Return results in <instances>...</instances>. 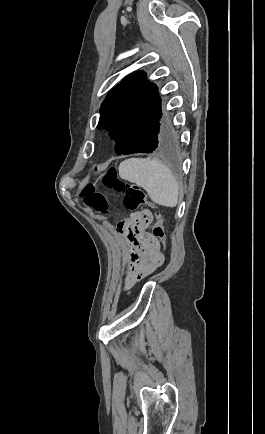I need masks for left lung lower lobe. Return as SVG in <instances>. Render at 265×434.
I'll return each instance as SVG.
<instances>
[{
  "label": "left lung lower lobe",
  "mask_w": 265,
  "mask_h": 434,
  "mask_svg": "<svg viewBox=\"0 0 265 434\" xmlns=\"http://www.w3.org/2000/svg\"><path fill=\"white\" fill-rule=\"evenodd\" d=\"M180 147V137L177 130L165 122L129 137L124 144L115 147L118 155L133 153H173Z\"/></svg>",
  "instance_id": "0a47b994"
}]
</instances>
